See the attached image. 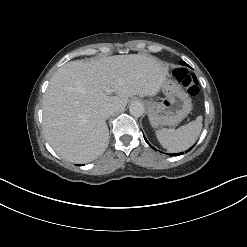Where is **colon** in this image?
<instances>
[{"label": "colon", "instance_id": "5ec220e1", "mask_svg": "<svg viewBox=\"0 0 247 247\" xmlns=\"http://www.w3.org/2000/svg\"><path fill=\"white\" fill-rule=\"evenodd\" d=\"M174 75L189 95H198L199 82L195 75L191 74L185 69L179 68L174 70Z\"/></svg>", "mask_w": 247, "mask_h": 247}]
</instances>
